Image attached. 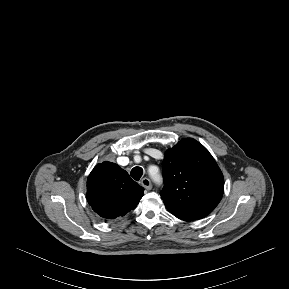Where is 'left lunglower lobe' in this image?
Listing matches in <instances>:
<instances>
[{"label":"left lung lower lobe","instance_id":"0a47b994","mask_svg":"<svg viewBox=\"0 0 289 289\" xmlns=\"http://www.w3.org/2000/svg\"><path fill=\"white\" fill-rule=\"evenodd\" d=\"M179 219H183L185 221H190L191 219H186V218H181V217H178Z\"/></svg>","mask_w":289,"mask_h":289}]
</instances>
